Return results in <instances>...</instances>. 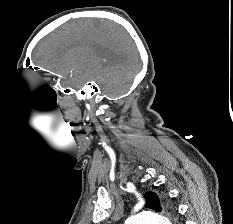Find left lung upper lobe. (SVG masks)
<instances>
[{"mask_svg":"<svg viewBox=\"0 0 233 224\" xmlns=\"http://www.w3.org/2000/svg\"><path fill=\"white\" fill-rule=\"evenodd\" d=\"M144 198L146 200L145 207L147 208H150L156 212L162 211L163 209H167L170 213L173 212L172 207L168 204L166 199L163 197L159 198L153 192H147L144 194Z\"/></svg>","mask_w":233,"mask_h":224,"instance_id":"obj_1","label":"left lung upper lobe"}]
</instances>
